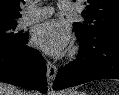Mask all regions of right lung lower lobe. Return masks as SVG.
Wrapping results in <instances>:
<instances>
[{"mask_svg":"<svg viewBox=\"0 0 119 95\" xmlns=\"http://www.w3.org/2000/svg\"><path fill=\"white\" fill-rule=\"evenodd\" d=\"M28 34L0 41V82L47 91L46 64L41 53L27 46Z\"/></svg>","mask_w":119,"mask_h":95,"instance_id":"1","label":"right lung lower lobe"}]
</instances>
